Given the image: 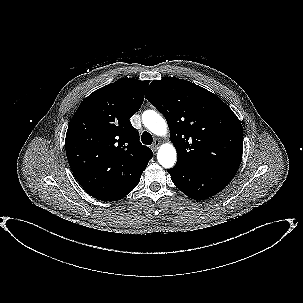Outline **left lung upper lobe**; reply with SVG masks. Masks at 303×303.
I'll use <instances>...</instances> for the list:
<instances>
[{
	"mask_svg": "<svg viewBox=\"0 0 303 303\" xmlns=\"http://www.w3.org/2000/svg\"><path fill=\"white\" fill-rule=\"evenodd\" d=\"M147 100L166 118L177 165L238 170L242 125L216 95L189 81L167 77L150 84Z\"/></svg>",
	"mask_w": 303,
	"mask_h": 303,
	"instance_id": "left-lung-upper-lobe-1",
	"label": "left lung upper lobe"
}]
</instances>
